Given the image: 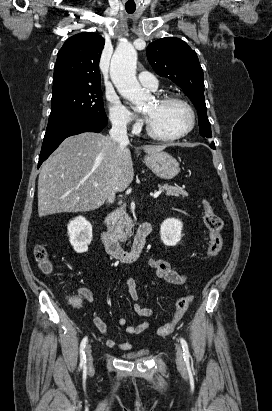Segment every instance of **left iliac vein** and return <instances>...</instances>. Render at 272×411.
Returning <instances> with one entry per match:
<instances>
[{
  "label": "left iliac vein",
  "mask_w": 272,
  "mask_h": 411,
  "mask_svg": "<svg viewBox=\"0 0 272 411\" xmlns=\"http://www.w3.org/2000/svg\"><path fill=\"white\" fill-rule=\"evenodd\" d=\"M176 362L179 367L184 366L183 352L179 344H176Z\"/></svg>",
  "instance_id": "1"
}]
</instances>
